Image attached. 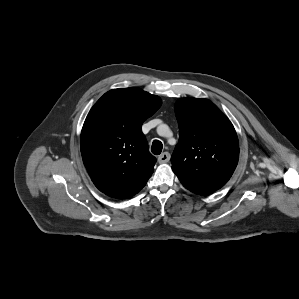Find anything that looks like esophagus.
<instances>
[{
  "instance_id": "esophagus-1",
  "label": "esophagus",
  "mask_w": 299,
  "mask_h": 299,
  "mask_svg": "<svg viewBox=\"0 0 299 299\" xmlns=\"http://www.w3.org/2000/svg\"><path fill=\"white\" fill-rule=\"evenodd\" d=\"M169 160H170V154L168 152H164L158 157V162L160 164L167 163L169 162Z\"/></svg>"
}]
</instances>
